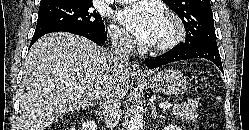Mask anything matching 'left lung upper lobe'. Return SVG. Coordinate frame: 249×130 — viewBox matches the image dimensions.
Returning a JSON list of instances; mask_svg holds the SVG:
<instances>
[{"label": "left lung upper lobe", "instance_id": "left-lung-upper-lobe-1", "mask_svg": "<svg viewBox=\"0 0 249 130\" xmlns=\"http://www.w3.org/2000/svg\"><path fill=\"white\" fill-rule=\"evenodd\" d=\"M182 20L186 39L183 45H217L210 0H163Z\"/></svg>", "mask_w": 249, "mask_h": 130}]
</instances>
